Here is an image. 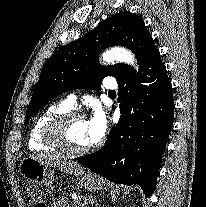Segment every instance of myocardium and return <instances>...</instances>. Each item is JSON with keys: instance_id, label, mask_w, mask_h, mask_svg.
<instances>
[{"instance_id": "1", "label": "myocardium", "mask_w": 206, "mask_h": 207, "mask_svg": "<svg viewBox=\"0 0 206 207\" xmlns=\"http://www.w3.org/2000/svg\"><path fill=\"white\" fill-rule=\"evenodd\" d=\"M76 120L86 121V117L83 113L75 111H68L57 115L44 127V141L55 148V150L71 157H80L92 152L94 149L93 145L84 149H72L67 145L63 136V130L67 125Z\"/></svg>"}]
</instances>
